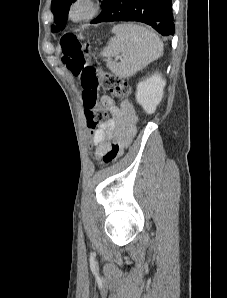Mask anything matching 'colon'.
<instances>
[{"mask_svg":"<svg viewBox=\"0 0 227 298\" xmlns=\"http://www.w3.org/2000/svg\"><path fill=\"white\" fill-rule=\"evenodd\" d=\"M60 47L64 65L73 76L80 78L86 123L93 130L108 120L106 111L97 107L99 88L123 97L130 94L131 87L121 77L87 63L91 51L89 43L80 42L74 35H66L62 37Z\"/></svg>","mask_w":227,"mask_h":298,"instance_id":"obj_1","label":"colon"}]
</instances>
